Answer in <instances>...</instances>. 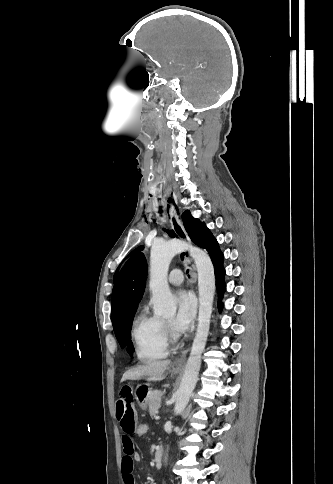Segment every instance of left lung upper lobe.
Here are the masks:
<instances>
[{"label": "left lung upper lobe", "mask_w": 333, "mask_h": 484, "mask_svg": "<svg viewBox=\"0 0 333 484\" xmlns=\"http://www.w3.org/2000/svg\"><path fill=\"white\" fill-rule=\"evenodd\" d=\"M182 220H183V224H184V227L190 237V239L198 246L201 245V241H202V238L204 236V233L206 231V226L204 223H201L200 220L198 219H195L192 217L191 213L187 210L185 211L183 214H182ZM143 249V246H140L138 248H136L134 251H132L130 255L140 251ZM118 270H119V267L118 269L116 270L115 272V275H114V280L116 279V276L118 274Z\"/></svg>", "instance_id": "5c2ea615"}]
</instances>
